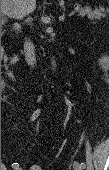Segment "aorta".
<instances>
[{
	"instance_id": "aorta-1",
	"label": "aorta",
	"mask_w": 109,
	"mask_h": 170,
	"mask_svg": "<svg viewBox=\"0 0 109 170\" xmlns=\"http://www.w3.org/2000/svg\"><path fill=\"white\" fill-rule=\"evenodd\" d=\"M51 65H52V69L55 71L56 70V62L54 60V57H52V59H51Z\"/></svg>"
}]
</instances>
